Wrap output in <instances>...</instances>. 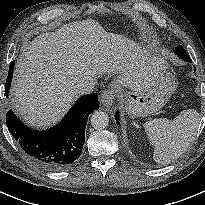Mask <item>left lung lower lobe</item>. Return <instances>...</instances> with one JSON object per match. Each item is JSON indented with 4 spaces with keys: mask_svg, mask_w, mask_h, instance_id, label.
<instances>
[{
    "mask_svg": "<svg viewBox=\"0 0 205 205\" xmlns=\"http://www.w3.org/2000/svg\"><path fill=\"white\" fill-rule=\"evenodd\" d=\"M115 119H116V122L119 123V115H118V113H116Z\"/></svg>",
    "mask_w": 205,
    "mask_h": 205,
    "instance_id": "obj_1",
    "label": "left lung lower lobe"
}]
</instances>
